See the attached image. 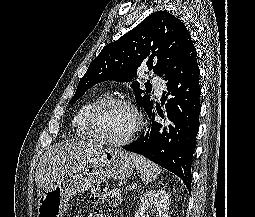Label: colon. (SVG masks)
Returning a JSON list of instances; mask_svg holds the SVG:
<instances>
[{
  "label": "colon",
  "instance_id": "1",
  "mask_svg": "<svg viewBox=\"0 0 255 217\" xmlns=\"http://www.w3.org/2000/svg\"><path fill=\"white\" fill-rule=\"evenodd\" d=\"M91 196L95 202L108 200L112 204H117L120 200L119 192L117 190H109L104 183L98 184L92 191Z\"/></svg>",
  "mask_w": 255,
  "mask_h": 217
}]
</instances>
